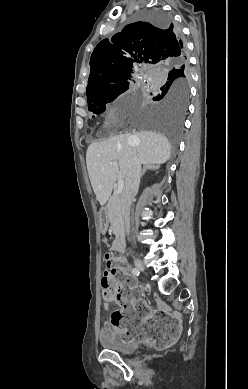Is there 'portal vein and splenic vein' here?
Segmentation results:
<instances>
[{
  "label": "portal vein and splenic vein",
  "instance_id": "obj_1",
  "mask_svg": "<svg viewBox=\"0 0 248 389\" xmlns=\"http://www.w3.org/2000/svg\"><path fill=\"white\" fill-rule=\"evenodd\" d=\"M111 164H112V163H111ZM123 187H124V180L121 179V180L118 181L117 188H116V190H115V192H114L115 195H119V194L122 192Z\"/></svg>",
  "mask_w": 248,
  "mask_h": 389
}]
</instances>
